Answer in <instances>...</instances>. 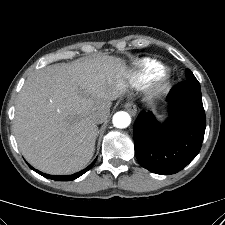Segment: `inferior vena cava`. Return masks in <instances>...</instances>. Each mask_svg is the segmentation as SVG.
Returning a JSON list of instances; mask_svg holds the SVG:
<instances>
[{
    "mask_svg": "<svg viewBox=\"0 0 225 225\" xmlns=\"http://www.w3.org/2000/svg\"><path fill=\"white\" fill-rule=\"evenodd\" d=\"M110 105L104 106L93 114V120L99 124L107 120L110 114Z\"/></svg>",
    "mask_w": 225,
    "mask_h": 225,
    "instance_id": "inferior-vena-cava-1",
    "label": "inferior vena cava"
}]
</instances>
